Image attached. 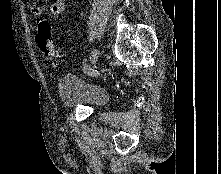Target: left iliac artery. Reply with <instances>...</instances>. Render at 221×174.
I'll return each mask as SVG.
<instances>
[{
	"instance_id": "left-iliac-artery-1",
	"label": "left iliac artery",
	"mask_w": 221,
	"mask_h": 174,
	"mask_svg": "<svg viewBox=\"0 0 221 174\" xmlns=\"http://www.w3.org/2000/svg\"><path fill=\"white\" fill-rule=\"evenodd\" d=\"M84 71L88 74H91V75H96V74H99V71L97 70H92V69H88V68H85Z\"/></svg>"
}]
</instances>
